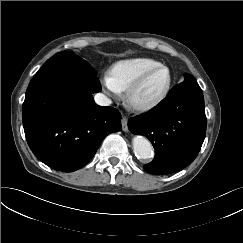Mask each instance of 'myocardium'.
Instances as JSON below:
<instances>
[{
  "mask_svg": "<svg viewBox=\"0 0 243 243\" xmlns=\"http://www.w3.org/2000/svg\"><path fill=\"white\" fill-rule=\"evenodd\" d=\"M165 70L167 73V80L162 89L153 97L146 100H138L136 98L137 92L144 85L146 80L156 71ZM172 85L171 71L167 66L158 65L148 69L140 75L126 90L125 100L130 108L136 111H148L159 105L168 95Z\"/></svg>",
  "mask_w": 243,
  "mask_h": 243,
  "instance_id": "obj_1",
  "label": "myocardium"
}]
</instances>
